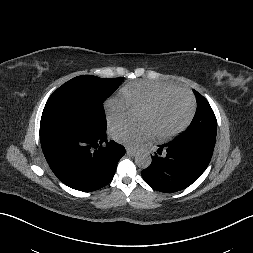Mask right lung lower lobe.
<instances>
[{
	"mask_svg": "<svg viewBox=\"0 0 253 253\" xmlns=\"http://www.w3.org/2000/svg\"><path fill=\"white\" fill-rule=\"evenodd\" d=\"M103 133L61 122L40 124L44 156L60 181L79 191H95L113 178L125 148ZM106 146H102V143Z\"/></svg>",
	"mask_w": 253,
	"mask_h": 253,
	"instance_id": "1",
	"label": "right lung lower lobe"
}]
</instances>
